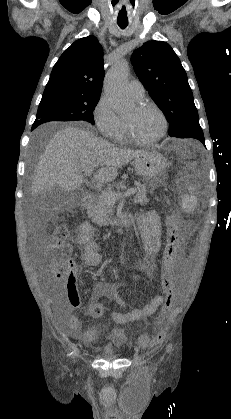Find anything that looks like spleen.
<instances>
[{
    "label": "spleen",
    "mask_w": 231,
    "mask_h": 419,
    "mask_svg": "<svg viewBox=\"0 0 231 419\" xmlns=\"http://www.w3.org/2000/svg\"><path fill=\"white\" fill-rule=\"evenodd\" d=\"M192 188L190 187V190ZM197 200L193 195H186L182 199V208L185 212L191 213L196 207Z\"/></svg>",
    "instance_id": "obj_1"
}]
</instances>
